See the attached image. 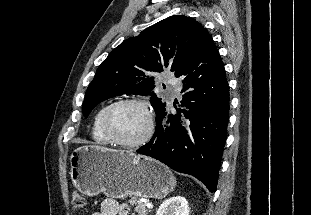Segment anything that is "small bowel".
<instances>
[{
  "label": "small bowel",
  "mask_w": 311,
  "mask_h": 215,
  "mask_svg": "<svg viewBox=\"0 0 311 215\" xmlns=\"http://www.w3.org/2000/svg\"><path fill=\"white\" fill-rule=\"evenodd\" d=\"M129 212L130 209L127 204L108 198L101 203L100 210L93 212L91 215H129Z\"/></svg>",
  "instance_id": "small-bowel-1"
}]
</instances>
